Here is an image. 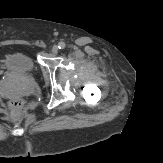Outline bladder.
I'll return each mask as SVG.
<instances>
[{
	"instance_id": "1",
	"label": "bladder",
	"mask_w": 163,
	"mask_h": 163,
	"mask_svg": "<svg viewBox=\"0 0 163 163\" xmlns=\"http://www.w3.org/2000/svg\"><path fill=\"white\" fill-rule=\"evenodd\" d=\"M4 67L11 73L27 75L37 69L35 59L24 52H13L4 58Z\"/></svg>"
}]
</instances>
